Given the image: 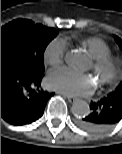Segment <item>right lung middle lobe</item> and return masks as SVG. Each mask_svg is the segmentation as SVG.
I'll use <instances>...</instances> for the list:
<instances>
[{
  "label": "right lung middle lobe",
  "mask_w": 122,
  "mask_h": 154,
  "mask_svg": "<svg viewBox=\"0 0 122 154\" xmlns=\"http://www.w3.org/2000/svg\"><path fill=\"white\" fill-rule=\"evenodd\" d=\"M58 31L31 20L16 19L1 27V58L21 60L35 76H43V54Z\"/></svg>",
  "instance_id": "dd1d6c3e"
}]
</instances>
